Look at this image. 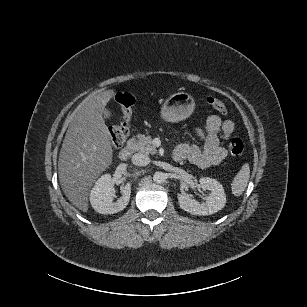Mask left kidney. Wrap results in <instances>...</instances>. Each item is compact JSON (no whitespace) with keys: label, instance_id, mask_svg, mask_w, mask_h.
Segmentation results:
<instances>
[{"label":"left kidney","instance_id":"left-kidney-1","mask_svg":"<svg viewBox=\"0 0 307 307\" xmlns=\"http://www.w3.org/2000/svg\"><path fill=\"white\" fill-rule=\"evenodd\" d=\"M200 185L203 189L209 190L212 195L207 197L206 203H199L189 195H182L179 204L183 210L195 215H209L221 210L226 204L224 188L216 179L201 176Z\"/></svg>","mask_w":307,"mask_h":307}]
</instances>
